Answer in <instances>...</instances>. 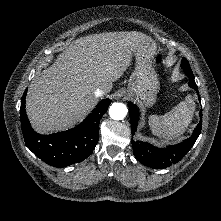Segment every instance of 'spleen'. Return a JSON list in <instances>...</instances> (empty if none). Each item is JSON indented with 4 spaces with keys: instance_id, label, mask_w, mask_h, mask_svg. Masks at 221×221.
<instances>
[{
    "instance_id": "obj_1",
    "label": "spleen",
    "mask_w": 221,
    "mask_h": 221,
    "mask_svg": "<svg viewBox=\"0 0 221 221\" xmlns=\"http://www.w3.org/2000/svg\"><path fill=\"white\" fill-rule=\"evenodd\" d=\"M195 103L190 96L164 115H150L149 126L154 135L174 139L183 134L192 121Z\"/></svg>"
}]
</instances>
